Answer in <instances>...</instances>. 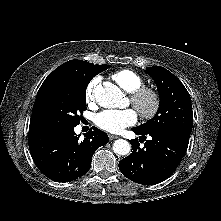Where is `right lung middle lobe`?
I'll return each mask as SVG.
<instances>
[{
    "label": "right lung middle lobe",
    "instance_id": "1",
    "mask_svg": "<svg viewBox=\"0 0 221 221\" xmlns=\"http://www.w3.org/2000/svg\"><path fill=\"white\" fill-rule=\"evenodd\" d=\"M111 65H99L84 77H67L47 86L36 99L30 120V131L73 127L80 123L86 110V88L90 80Z\"/></svg>",
    "mask_w": 221,
    "mask_h": 221
}]
</instances>
